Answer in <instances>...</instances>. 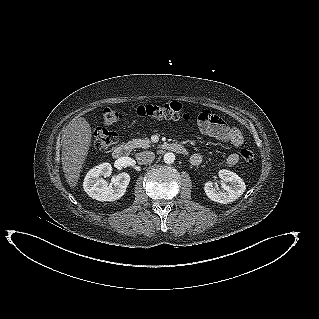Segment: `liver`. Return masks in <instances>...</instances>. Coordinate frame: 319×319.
I'll use <instances>...</instances> for the list:
<instances>
[{
    "instance_id": "6515ba94",
    "label": "liver",
    "mask_w": 319,
    "mask_h": 319,
    "mask_svg": "<svg viewBox=\"0 0 319 319\" xmlns=\"http://www.w3.org/2000/svg\"><path fill=\"white\" fill-rule=\"evenodd\" d=\"M91 140V126L83 117L73 120L63 132L61 161L70 187L77 185Z\"/></svg>"
}]
</instances>
